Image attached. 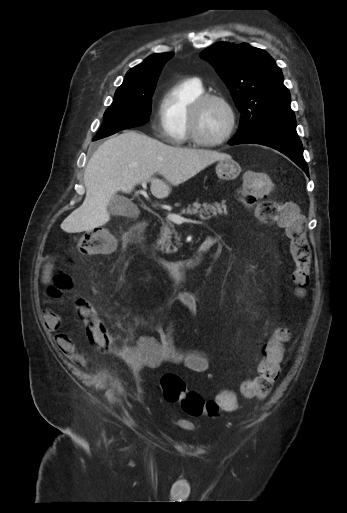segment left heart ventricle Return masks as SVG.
Instances as JSON below:
<instances>
[{
    "label": "left heart ventricle",
    "instance_id": "b2bd125f",
    "mask_svg": "<svg viewBox=\"0 0 347 513\" xmlns=\"http://www.w3.org/2000/svg\"><path fill=\"white\" fill-rule=\"evenodd\" d=\"M229 124L226 108L216 102H208L201 110L198 131L202 138L216 140L224 135Z\"/></svg>",
    "mask_w": 347,
    "mask_h": 513
}]
</instances>
